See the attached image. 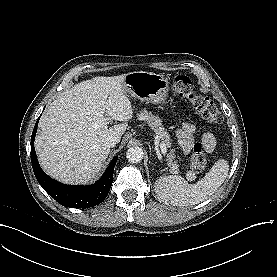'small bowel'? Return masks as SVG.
Wrapping results in <instances>:
<instances>
[{"mask_svg": "<svg viewBox=\"0 0 277 277\" xmlns=\"http://www.w3.org/2000/svg\"><path fill=\"white\" fill-rule=\"evenodd\" d=\"M178 143L184 153H189L194 146V138L197 136L199 141L196 145H200L205 152L211 153L216 145L213 134L209 132L200 133L195 124L184 122L176 130Z\"/></svg>", "mask_w": 277, "mask_h": 277, "instance_id": "obj_1", "label": "small bowel"}]
</instances>
